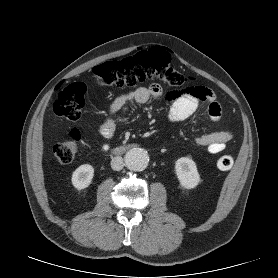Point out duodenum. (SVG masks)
<instances>
[{"mask_svg": "<svg viewBox=\"0 0 278 278\" xmlns=\"http://www.w3.org/2000/svg\"><path fill=\"white\" fill-rule=\"evenodd\" d=\"M128 147H117L113 150V153L118 154L124 152Z\"/></svg>", "mask_w": 278, "mask_h": 278, "instance_id": "410a0bca", "label": "duodenum"}]
</instances>
